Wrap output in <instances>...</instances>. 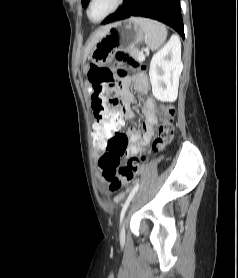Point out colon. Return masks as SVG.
<instances>
[{
    "label": "colon",
    "mask_w": 238,
    "mask_h": 278,
    "mask_svg": "<svg viewBox=\"0 0 238 278\" xmlns=\"http://www.w3.org/2000/svg\"><path fill=\"white\" fill-rule=\"evenodd\" d=\"M117 59L121 60L120 64L127 63L130 66H135V62L126 53H117ZM142 70H145L144 66H142ZM126 74L124 69H120V72H116L115 76H126ZM87 76L93 87L92 108L96 123H98L92 124V129H100L91 130V135H95L93 146L94 149H104L99 165L109 189L117 191L134 179L141 169L145 156L141 158L131 157L123 162L122 154H126L128 144H108L106 141L109 135L120 134L122 123V105L117 95L114 76L111 75V68L91 64ZM139 77L145 78V74L142 73ZM164 110L168 119L156 126V137L152 144L153 151H161L173 137L172 117L174 110L171 106L165 107ZM122 197L123 195H118L117 200L120 201Z\"/></svg>",
    "instance_id": "colon-1"
}]
</instances>
